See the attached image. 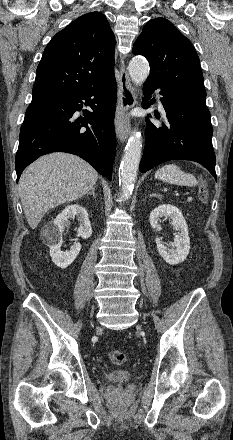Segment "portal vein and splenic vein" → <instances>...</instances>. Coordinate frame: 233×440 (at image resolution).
<instances>
[{"instance_id": "18ae733b", "label": "portal vein and splenic vein", "mask_w": 233, "mask_h": 440, "mask_svg": "<svg viewBox=\"0 0 233 440\" xmlns=\"http://www.w3.org/2000/svg\"><path fill=\"white\" fill-rule=\"evenodd\" d=\"M175 194L178 195V191H175Z\"/></svg>"}]
</instances>
